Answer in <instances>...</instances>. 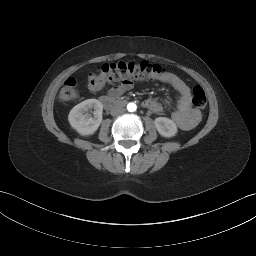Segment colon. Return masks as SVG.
Listing matches in <instances>:
<instances>
[{"instance_id": "1", "label": "colon", "mask_w": 256, "mask_h": 256, "mask_svg": "<svg viewBox=\"0 0 256 256\" xmlns=\"http://www.w3.org/2000/svg\"><path fill=\"white\" fill-rule=\"evenodd\" d=\"M164 74L163 68L147 61H115L104 64L98 72H92L88 77V86L97 91L108 82L119 79H156ZM78 98V86L75 78L65 80L59 99L63 102L74 101ZM192 104L197 109L207 105L205 91L201 86L192 89Z\"/></svg>"}]
</instances>
